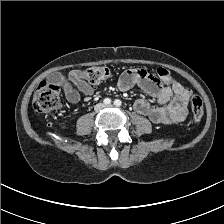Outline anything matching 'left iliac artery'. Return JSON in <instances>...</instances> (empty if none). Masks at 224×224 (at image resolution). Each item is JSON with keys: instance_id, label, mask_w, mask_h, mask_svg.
<instances>
[{"instance_id": "1", "label": "left iliac artery", "mask_w": 224, "mask_h": 224, "mask_svg": "<svg viewBox=\"0 0 224 224\" xmlns=\"http://www.w3.org/2000/svg\"><path fill=\"white\" fill-rule=\"evenodd\" d=\"M114 105L117 106V107L121 106V105H122L121 100L116 99V100L114 101Z\"/></svg>"}]
</instances>
